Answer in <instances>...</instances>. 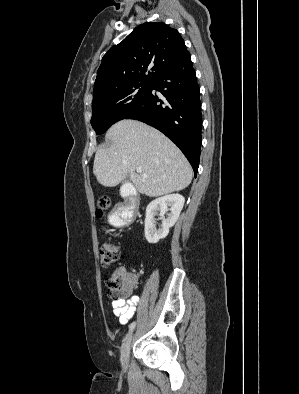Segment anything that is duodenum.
<instances>
[{
    "mask_svg": "<svg viewBox=\"0 0 299 394\" xmlns=\"http://www.w3.org/2000/svg\"><path fill=\"white\" fill-rule=\"evenodd\" d=\"M122 196L124 198V203L119 211V219L123 222L132 221L135 218L139 205L137 196L130 188H124L122 190Z\"/></svg>",
    "mask_w": 299,
    "mask_h": 394,
    "instance_id": "410a0bca",
    "label": "duodenum"
}]
</instances>
